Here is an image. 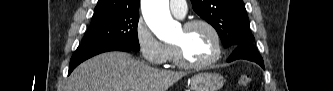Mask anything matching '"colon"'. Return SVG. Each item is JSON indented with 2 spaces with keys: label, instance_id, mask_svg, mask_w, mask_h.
<instances>
[{
  "label": "colon",
  "instance_id": "5ec220e1",
  "mask_svg": "<svg viewBox=\"0 0 333 91\" xmlns=\"http://www.w3.org/2000/svg\"><path fill=\"white\" fill-rule=\"evenodd\" d=\"M251 83V78L249 75L247 74H243L239 77L238 79V84L241 86V87H247L249 86Z\"/></svg>",
  "mask_w": 333,
  "mask_h": 91
}]
</instances>
